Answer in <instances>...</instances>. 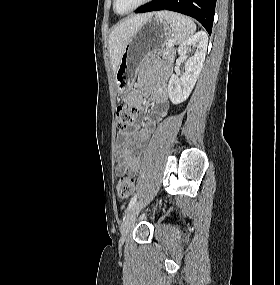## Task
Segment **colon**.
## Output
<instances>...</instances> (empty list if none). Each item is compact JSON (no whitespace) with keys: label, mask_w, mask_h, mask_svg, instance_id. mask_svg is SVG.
I'll return each mask as SVG.
<instances>
[{"label":"colon","mask_w":280,"mask_h":285,"mask_svg":"<svg viewBox=\"0 0 280 285\" xmlns=\"http://www.w3.org/2000/svg\"><path fill=\"white\" fill-rule=\"evenodd\" d=\"M135 118V109L128 105H119L116 110V127L119 132L126 130L133 123ZM135 187L134 180L124 174H121L116 188L120 198L129 197Z\"/></svg>","instance_id":"1"}]
</instances>
